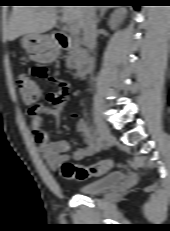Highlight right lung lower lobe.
<instances>
[{
  "label": "right lung lower lobe",
  "instance_id": "right-lung-lower-lobe-1",
  "mask_svg": "<svg viewBox=\"0 0 170 231\" xmlns=\"http://www.w3.org/2000/svg\"><path fill=\"white\" fill-rule=\"evenodd\" d=\"M136 9L139 8V6H134Z\"/></svg>",
  "mask_w": 170,
  "mask_h": 231
}]
</instances>
